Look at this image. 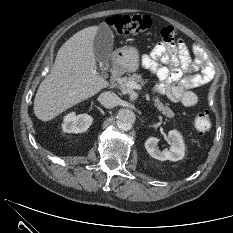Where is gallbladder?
Masks as SVG:
<instances>
[{
  "label": "gallbladder",
  "mask_w": 233,
  "mask_h": 233,
  "mask_svg": "<svg viewBox=\"0 0 233 233\" xmlns=\"http://www.w3.org/2000/svg\"><path fill=\"white\" fill-rule=\"evenodd\" d=\"M114 34L111 28L101 23L93 41V51L98 61H107L113 51Z\"/></svg>",
  "instance_id": "gallbladder-1"
}]
</instances>
